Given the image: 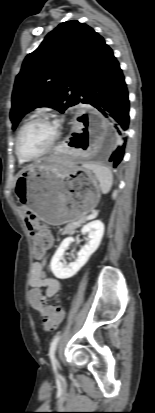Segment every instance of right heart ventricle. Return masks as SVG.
Wrapping results in <instances>:
<instances>
[{
    "label": "right heart ventricle",
    "instance_id": "1",
    "mask_svg": "<svg viewBox=\"0 0 155 413\" xmlns=\"http://www.w3.org/2000/svg\"><path fill=\"white\" fill-rule=\"evenodd\" d=\"M18 159H19V161L22 163V162H24L22 159H20L19 157H18Z\"/></svg>",
    "mask_w": 155,
    "mask_h": 413
}]
</instances>
